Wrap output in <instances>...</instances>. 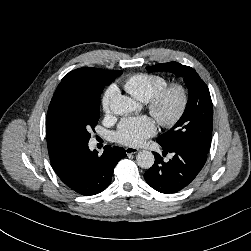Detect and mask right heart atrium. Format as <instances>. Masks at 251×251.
<instances>
[{
	"instance_id": "d8ad5b80",
	"label": "right heart atrium",
	"mask_w": 251,
	"mask_h": 251,
	"mask_svg": "<svg viewBox=\"0 0 251 251\" xmlns=\"http://www.w3.org/2000/svg\"><path fill=\"white\" fill-rule=\"evenodd\" d=\"M116 96H117V88L115 86L109 87L104 93L101 99V107L105 113L110 112L111 103Z\"/></svg>"
}]
</instances>
